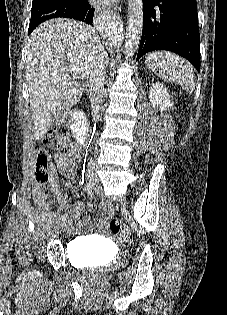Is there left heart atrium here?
Masks as SVG:
<instances>
[{
	"instance_id": "39dd6f15",
	"label": "left heart atrium",
	"mask_w": 227,
	"mask_h": 315,
	"mask_svg": "<svg viewBox=\"0 0 227 315\" xmlns=\"http://www.w3.org/2000/svg\"><path fill=\"white\" fill-rule=\"evenodd\" d=\"M96 4L102 5V6H110L114 4L116 0H93Z\"/></svg>"
}]
</instances>
